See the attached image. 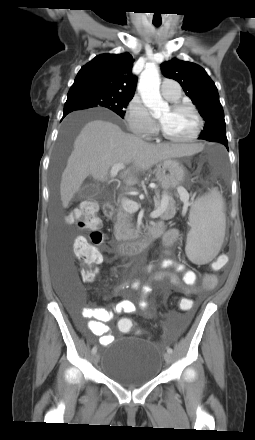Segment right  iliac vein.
Listing matches in <instances>:
<instances>
[{
    "label": "right iliac vein",
    "mask_w": 255,
    "mask_h": 440,
    "mask_svg": "<svg viewBox=\"0 0 255 440\" xmlns=\"http://www.w3.org/2000/svg\"><path fill=\"white\" fill-rule=\"evenodd\" d=\"M92 362H93L94 365H96L99 362V355L98 354L95 353L92 356Z\"/></svg>",
    "instance_id": "1"
}]
</instances>
